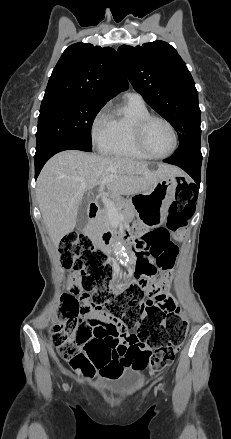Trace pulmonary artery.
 I'll return each instance as SVG.
<instances>
[{"mask_svg":"<svg viewBox=\"0 0 231 439\" xmlns=\"http://www.w3.org/2000/svg\"><path fill=\"white\" fill-rule=\"evenodd\" d=\"M127 98L132 99V100H137V101H143L142 96L136 92L128 93Z\"/></svg>","mask_w":231,"mask_h":439,"instance_id":"e3ab8cb5","label":"pulmonary artery"}]
</instances>
